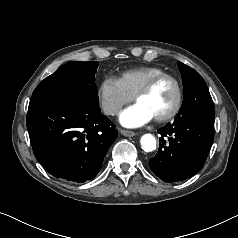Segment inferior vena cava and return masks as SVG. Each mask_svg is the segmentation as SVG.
Returning a JSON list of instances; mask_svg holds the SVG:
<instances>
[{
	"instance_id": "obj_1",
	"label": "inferior vena cava",
	"mask_w": 238,
	"mask_h": 238,
	"mask_svg": "<svg viewBox=\"0 0 238 238\" xmlns=\"http://www.w3.org/2000/svg\"><path fill=\"white\" fill-rule=\"evenodd\" d=\"M120 108L117 106H107L104 108V111L106 114L109 115H114L117 114L119 112Z\"/></svg>"
}]
</instances>
